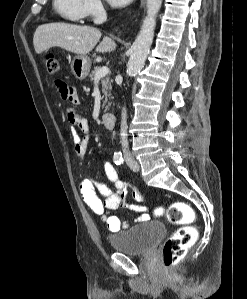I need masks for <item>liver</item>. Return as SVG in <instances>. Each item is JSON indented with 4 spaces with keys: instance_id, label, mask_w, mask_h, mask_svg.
<instances>
[{
    "instance_id": "obj_1",
    "label": "liver",
    "mask_w": 247,
    "mask_h": 299,
    "mask_svg": "<svg viewBox=\"0 0 247 299\" xmlns=\"http://www.w3.org/2000/svg\"><path fill=\"white\" fill-rule=\"evenodd\" d=\"M101 32L91 26H79L67 23H48L40 25L33 37L34 49L37 54L52 47H60L77 55H86L97 45ZM116 43L108 36L96 47V52H112Z\"/></svg>"
}]
</instances>
